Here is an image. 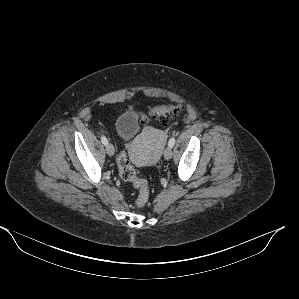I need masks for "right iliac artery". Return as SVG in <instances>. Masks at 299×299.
I'll list each match as a JSON object with an SVG mask.
<instances>
[{"label":"right iliac artery","instance_id":"82829eb1","mask_svg":"<svg viewBox=\"0 0 299 299\" xmlns=\"http://www.w3.org/2000/svg\"><path fill=\"white\" fill-rule=\"evenodd\" d=\"M101 141L104 145H106L108 143V140L105 136H101Z\"/></svg>","mask_w":299,"mask_h":299}]
</instances>
